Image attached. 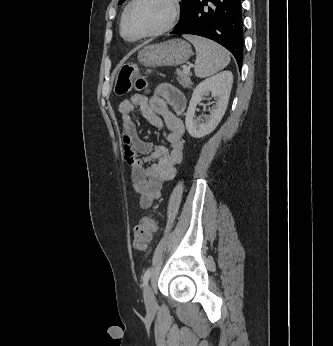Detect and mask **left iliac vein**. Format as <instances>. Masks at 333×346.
I'll return each mask as SVG.
<instances>
[{
    "instance_id": "1",
    "label": "left iliac vein",
    "mask_w": 333,
    "mask_h": 346,
    "mask_svg": "<svg viewBox=\"0 0 333 346\" xmlns=\"http://www.w3.org/2000/svg\"><path fill=\"white\" fill-rule=\"evenodd\" d=\"M145 306L148 313L153 314L156 311V298L150 285H147L144 289Z\"/></svg>"
}]
</instances>
